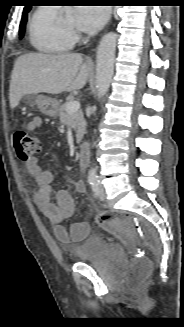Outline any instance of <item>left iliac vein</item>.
I'll return each instance as SVG.
<instances>
[{
	"label": "left iliac vein",
	"mask_w": 184,
	"mask_h": 327,
	"mask_svg": "<svg viewBox=\"0 0 184 327\" xmlns=\"http://www.w3.org/2000/svg\"><path fill=\"white\" fill-rule=\"evenodd\" d=\"M98 196L100 198V200H104L105 199V192H104V188L101 185H98Z\"/></svg>",
	"instance_id": "obj_1"
}]
</instances>
